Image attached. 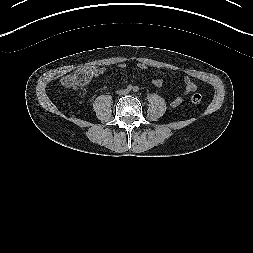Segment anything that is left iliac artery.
<instances>
[{
    "label": "left iliac artery",
    "instance_id": "1",
    "mask_svg": "<svg viewBox=\"0 0 253 253\" xmlns=\"http://www.w3.org/2000/svg\"><path fill=\"white\" fill-rule=\"evenodd\" d=\"M134 91H138V87H135V88H134Z\"/></svg>",
    "mask_w": 253,
    "mask_h": 253
}]
</instances>
